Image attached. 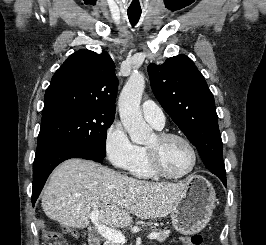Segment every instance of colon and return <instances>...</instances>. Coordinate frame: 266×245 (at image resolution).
Wrapping results in <instances>:
<instances>
[{
    "label": "colon",
    "instance_id": "obj_1",
    "mask_svg": "<svg viewBox=\"0 0 266 245\" xmlns=\"http://www.w3.org/2000/svg\"><path fill=\"white\" fill-rule=\"evenodd\" d=\"M44 236L47 245H68L62 235L44 228ZM189 245H203V236L199 233L193 234L189 238Z\"/></svg>",
    "mask_w": 266,
    "mask_h": 245
}]
</instances>
